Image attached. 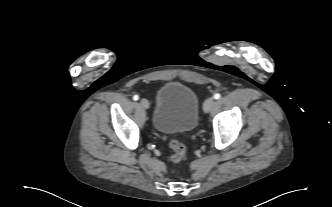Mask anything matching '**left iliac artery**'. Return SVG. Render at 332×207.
<instances>
[{
	"label": "left iliac artery",
	"instance_id": "1",
	"mask_svg": "<svg viewBox=\"0 0 332 207\" xmlns=\"http://www.w3.org/2000/svg\"><path fill=\"white\" fill-rule=\"evenodd\" d=\"M220 97H221V94H219V93H216V94L214 95V99H220Z\"/></svg>",
	"mask_w": 332,
	"mask_h": 207
}]
</instances>
